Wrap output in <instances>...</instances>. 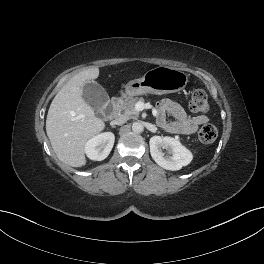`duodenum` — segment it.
Instances as JSON below:
<instances>
[{
  "instance_id": "1",
  "label": "duodenum",
  "mask_w": 264,
  "mask_h": 264,
  "mask_svg": "<svg viewBox=\"0 0 264 264\" xmlns=\"http://www.w3.org/2000/svg\"><path fill=\"white\" fill-rule=\"evenodd\" d=\"M120 98L115 96L111 99L110 104L105 110L104 117L106 119H113L117 116L118 106H119Z\"/></svg>"
}]
</instances>
